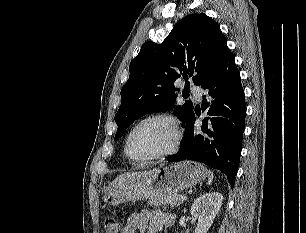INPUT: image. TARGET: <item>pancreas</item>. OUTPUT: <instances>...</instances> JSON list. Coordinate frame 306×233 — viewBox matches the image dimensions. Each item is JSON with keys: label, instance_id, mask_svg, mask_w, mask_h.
<instances>
[{"label": "pancreas", "instance_id": "cf45deb5", "mask_svg": "<svg viewBox=\"0 0 306 233\" xmlns=\"http://www.w3.org/2000/svg\"><path fill=\"white\" fill-rule=\"evenodd\" d=\"M181 194H172L168 196L154 198L148 201V204L151 206H169L174 208L175 206H179L182 201L179 200Z\"/></svg>", "mask_w": 306, "mask_h": 233}]
</instances>
